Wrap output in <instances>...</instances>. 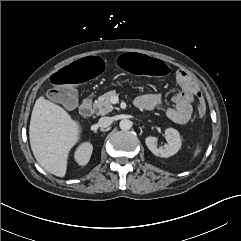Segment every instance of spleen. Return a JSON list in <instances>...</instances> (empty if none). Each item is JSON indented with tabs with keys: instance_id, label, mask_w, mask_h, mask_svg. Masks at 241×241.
<instances>
[{
	"instance_id": "obj_1",
	"label": "spleen",
	"mask_w": 241,
	"mask_h": 241,
	"mask_svg": "<svg viewBox=\"0 0 241 241\" xmlns=\"http://www.w3.org/2000/svg\"><path fill=\"white\" fill-rule=\"evenodd\" d=\"M201 152V148L197 147V149L194 152V157L198 156Z\"/></svg>"
}]
</instances>
